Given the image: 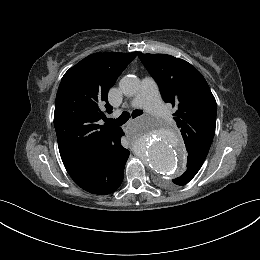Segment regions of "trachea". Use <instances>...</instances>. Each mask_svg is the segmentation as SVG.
<instances>
[{
	"label": "trachea",
	"mask_w": 260,
	"mask_h": 260,
	"mask_svg": "<svg viewBox=\"0 0 260 260\" xmlns=\"http://www.w3.org/2000/svg\"><path fill=\"white\" fill-rule=\"evenodd\" d=\"M143 114L142 110H134L131 114L133 118H136L137 116H140ZM130 118V114L126 111H124L119 118L112 119V118H106L105 122L107 124L115 125V126H121L125 124Z\"/></svg>",
	"instance_id": "obj_1"
}]
</instances>
